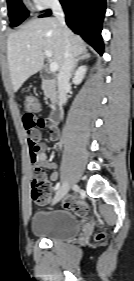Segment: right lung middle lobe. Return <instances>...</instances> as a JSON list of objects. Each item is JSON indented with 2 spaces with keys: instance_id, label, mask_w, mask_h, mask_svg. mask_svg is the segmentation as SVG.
<instances>
[{
  "instance_id": "dd1d6c3e",
  "label": "right lung middle lobe",
  "mask_w": 134,
  "mask_h": 281,
  "mask_svg": "<svg viewBox=\"0 0 134 281\" xmlns=\"http://www.w3.org/2000/svg\"><path fill=\"white\" fill-rule=\"evenodd\" d=\"M11 26L15 27L28 17V11L21 0H7Z\"/></svg>"
}]
</instances>
